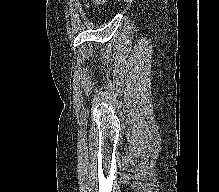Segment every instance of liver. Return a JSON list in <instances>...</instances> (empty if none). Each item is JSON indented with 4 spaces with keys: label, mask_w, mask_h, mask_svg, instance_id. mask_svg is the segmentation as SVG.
Instances as JSON below:
<instances>
[{
    "label": "liver",
    "mask_w": 219,
    "mask_h": 192,
    "mask_svg": "<svg viewBox=\"0 0 219 192\" xmlns=\"http://www.w3.org/2000/svg\"><path fill=\"white\" fill-rule=\"evenodd\" d=\"M95 2L99 3V2H101V0H95Z\"/></svg>",
    "instance_id": "liver-1"
}]
</instances>
